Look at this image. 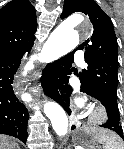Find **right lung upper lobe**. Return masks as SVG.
<instances>
[{
  "instance_id": "right-lung-upper-lobe-1",
  "label": "right lung upper lobe",
  "mask_w": 124,
  "mask_h": 149,
  "mask_svg": "<svg viewBox=\"0 0 124 149\" xmlns=\"http://www.w3.org/2000/svg\"><path fill=\"white\" fill-rule=\"evenodd\" d=\"M36 13L28 0H12L0 10V53L33 46Z\"/></svg>"
}]
</instances>
